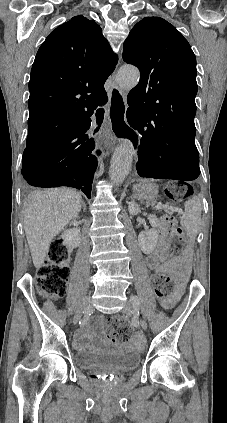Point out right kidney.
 I'll list each match as a JSON object with an SVG mask.
<instances>
[{
    "label": "right kidney",
    "mask_w": 227,
    "mask_h": 423,
    "mask_svg": "<svg viewBox=\"0 0 227 423\" xmlns=\"http://www.w3.org/2000/svg\"><path fill=\"white\" fill-rule=\"evenodd\" d=\"M63 243L65 245H71V247H78L81 239V231L78 227H70L65 229L62 233Z\"/></svg>",
    "instance_id": "ca27d5eb"
}]
</instances>
